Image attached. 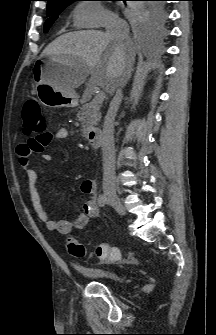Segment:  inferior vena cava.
Segmentation results:
<instances>
[{"mask_svg": "<svg viewBox=\"0 0 216 335\" xmlns=\"http://www.w3.org/2000/svg\"><path fill=\"white\" fill-rule=\"evenodd\" d=\"M106 34L111 39L121 43L129 40V26L126 21L112 14L107 18ZM131 63H121L117 74V88L108 112L105 116L102 133L103 155V189L115 191V147H114V120L122 101V88L131 76Z\"/></svg>", "mask_w": 216, "mask_h": 335, "instance_id": "602c4592", "label": "inferior vena cava"}]
</instances>
